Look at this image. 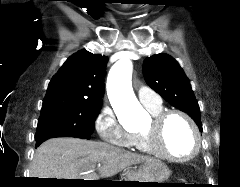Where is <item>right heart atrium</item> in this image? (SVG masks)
Here are the masks:
<instances>
[{"mask_svg":"<svg viewBox=\"0 0 240 187\" xmlns=\"http://www.w3.org/2000/svg\"><path fill=\"white\" fill-rule=\"evenodd\" d=\"M95 128L102 141L119 146H132V134L124 130L112 108L105 107L95 120Z\"/></svg>","mask_w":240,"mask_h":187,"instance_id":"d8ad5b80","label":"right heart atrium"}]
</instances>
